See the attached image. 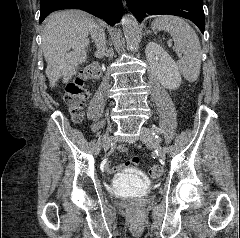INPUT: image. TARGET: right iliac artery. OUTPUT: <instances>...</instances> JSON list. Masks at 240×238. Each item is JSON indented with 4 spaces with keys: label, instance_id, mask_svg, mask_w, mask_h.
Here are the masks:
<instances>
[{
    "label": "right iliac artery",
    "instance_id": "right-iliac-artery-1",
    "mask_svg": "<svg viewBox=\"0 0 240 238\" xmlns=\"http://www.w3.org/2000/svg\"><path fill=\"white\" fill-rule=\"evenodd\" d=\"M100 142L98 141L97 142V144H96V146H95V151H96V153L98 154L99 153V151H100Z\"/></svg>",
    "mask_w": 240,
    "mask_h": 238
}]
</instances>
